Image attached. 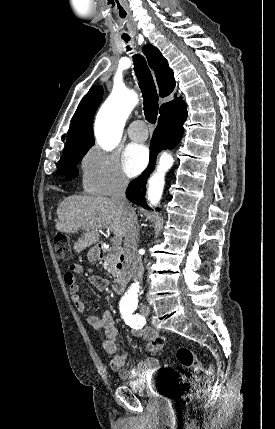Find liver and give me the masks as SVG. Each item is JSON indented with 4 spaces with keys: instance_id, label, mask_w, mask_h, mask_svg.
Returning a JSON list of instances; mask_svg holds the SVG:
<instances>
[{
    "instance_id": "6515ba94",
    "label": "liver",
    "mask_w": 275,
    "mask_h": 429,
    "mask_svg": "<svg viewBox=\"0 0 275 429\" xmlns=\"http://www.w3.org/2000/svg\"><path fill=\"white\" fill-rule=\"evenodd\" d=\"M57 215L58 231L75 233L80 228L85 230L73 246L78 253L99 241L100 227L109 226L114 235L125 236V217L112 198L72 195L62 200Z\"/></svg>"
}]
</instances>
